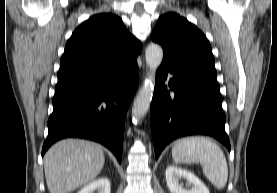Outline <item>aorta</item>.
Returning <instances> with one entry per match:
<instances>
[{"label": "aorta", "mask_w": 277, "mask_h": 193, "mask_svg": "<svg viewBox=\"0 0 277 193\" xmlns=\"http://www.w3.org/2000/svg\"><path fill=\"white\" fill-rule=\"evenodd\" d=\"M145 58L150 73L133 103L132 120L135 124L139 123L149 110L155 85V73L163 60V49L161 46L152 43L146 48Z\"/></svg>", "instance_id": "aorta-1"}]
</instances>
